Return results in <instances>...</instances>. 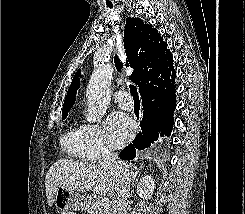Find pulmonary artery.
Returning <instances> with one entry per match:
<instances>
[{"label":"pulmonary artery","mask_w":245,"mask_h":214,"mask_svg":"<svg viewBox=\"0 0 245 214\" xmlns=\"http://www.w3.org/2000/svg\"><path fill=\"white\" fill-rule=\"evenodd\" d=\"M114 101L123 109L131 110L134 106L133 99L127 91H118L113 95Z\"/></svg>","instance_id":"e3ab8cb5"}]
</instances>
